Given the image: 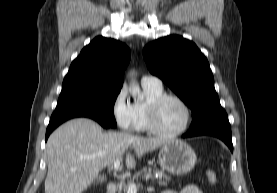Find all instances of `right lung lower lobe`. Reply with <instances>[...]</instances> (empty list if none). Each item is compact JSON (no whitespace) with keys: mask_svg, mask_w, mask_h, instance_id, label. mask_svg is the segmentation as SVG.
Wrapping results in <instances>:
<instances>
[{"mask_svg":"<svg viewBox=\"0 0 277 193\" xmlns=\"http://www.w3.org/2000/svg\"><path fill=\"white\" fill-rule=\"evenodd\" d=\"M75 117H88L91 119L96 120L97 122H99L103 127L105 128H110L109 125H107L106 123H103L95 118H93L92 116L86 115V114H81V113H76V112H54L53 115L51 116L49 125L47 127V131H46V140L49 137L50 133L60 124H62L63 122H65L68 119L71 118H75Z\"/></svg>","mask_w":277,"mask_h":193,"instance_id":"right-lung-lower-lobe-1","label":"right lung lower lobe"}]
</instances>
